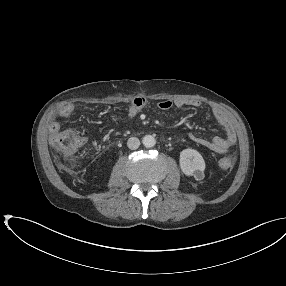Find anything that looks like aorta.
Instances as JSON below:
<instances>
[{"label":"aorta","instance_id":"762f6f07","mask_svg":"<svg viewBox=\"0 0 286 286\" xmlns=\"http://www.w3.org/2000/svg\"><path fill=\"white\" fill-rule=\"evenodd\" d=\"M142 143L146 148H152L156 144V140L152 135H145L142 139Z\"/></svg>","mask_w":286,"mask_h":286}]
</instances>
